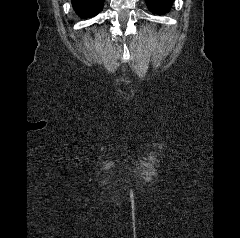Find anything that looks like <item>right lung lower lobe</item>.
Masks as SVG:
<instances>
[{"mask_svg": "<svg viewBox=\"0 0 240 238\" xmlns=\"http://www.w3.org/2000/svg\"><path fill=\"white\" fill-rule=\"evenodd\" d=\"M75 12L83 18L93 17L101 12L104 0H71Z\"/></svg>", "mask_w": 240, "mask_h": 238, "instance_id": "right-lung-lower-lobe-1", "label": "right lung lower lobe"}]
</instances>
